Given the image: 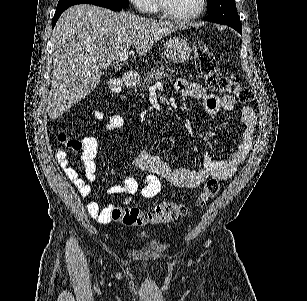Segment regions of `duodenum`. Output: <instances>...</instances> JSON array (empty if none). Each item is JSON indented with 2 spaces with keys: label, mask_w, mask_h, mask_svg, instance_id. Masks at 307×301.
<instances>
[{
  "label": "duodenum",
  "mask_w": 307,
  "mask_h": 301,
  "mask_svg": "<svg viewBox=\"0 0 307 301\" xmlns=\"http://www.w3.org/2000/svg\"><path fill=\"white\" fill-rule=\"evenodd\" d=\"M123 81L126 86L132 87L136 83V77L131 73H126L123 76Z\"/></svg>",
  "instance_id": "obj_1"
}]
</instances>
